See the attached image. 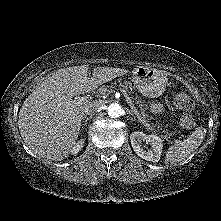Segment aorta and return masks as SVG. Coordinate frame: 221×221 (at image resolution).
Wrapping results in <instances>:
<instances>
[{"instance_id": "1", "label": "aorta", "mask_w": 221, "mask_h": 221, "mask_svg": "<svg viewBox=\"0 0 221 221\" xmlns=\"http://www.w3.org/2000/svg\"><path fill=\"white\" fill-rule=\"evenodd\" d=\"M122 111L123 110L118 103H111L107 108L108 115L112 118H117L121 116Z\"/></svg>"}]
</instances>
